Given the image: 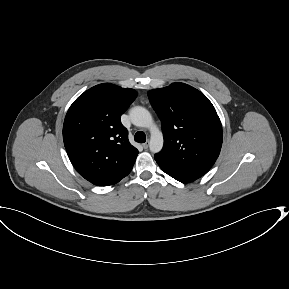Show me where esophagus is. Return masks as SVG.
Instances as JSON below:
<instances>
[{"instance_id": "1", "label": "esophagus", "mask_w": 289, "mask_h": 289, "mask_svg": "<svg viewBox=\"0 0 289 289\" xmlns=\"http://www.w3.org/2000/svg\"><path fill=\"white\" fill-rule=\"evenodd\" d=\"M149 147V141H146L144 144H143V148L144 149H147Z\"/></svg>"}]
</instances>
